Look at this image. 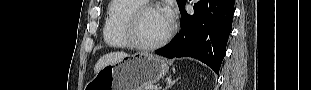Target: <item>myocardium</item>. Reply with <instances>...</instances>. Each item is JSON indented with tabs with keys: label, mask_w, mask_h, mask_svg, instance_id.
I'll return each instance as SVG.
<instances>
[{
	"label": "myocardium",
	"mask_w": 311,
	"mask_h": 90,
	"mask_svg": "<svg viewBox=\"0 0 311 90\" xmlns=\"http://www.w3.org/2000/svg\"><path fill=\"white\" fill-rule=\"evenodd\" d=\"M159 7L154 4H143L137 8H135L127 17L126 24H125V32L129 43L132 47L138 50H154L161 46H163L167 41L172 37L175 25L172 23L167 33L158 41L153 43H144L140 40L138 34L139 22L141 16L150 10H157Z\"/></svg>",
	"instance_id": "obj_1"
}]
</instances>
